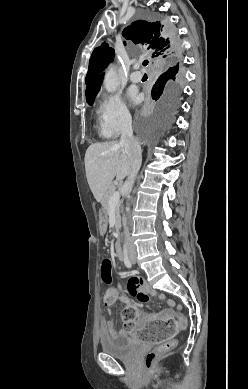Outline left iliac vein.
I'll list each match as a JSON object with an SVG mask.
<instances>
[{
    "mask_svg": "<svg viewBox=\"0 0 248 389\" xmlns=\"http://www.w3.org/2000/svg\"><path fill=\"white\" fill-rule=\"evenodd\" d=\"M131 261H132L133 264H135L136 263V258L132 257Z\"/></svg>",
    "mask_w": 248,
    "mask_h": 389,
    "instance_id": "left-iliac-vein-1",
    "label": "left iliac vein"
}]
</instances>
